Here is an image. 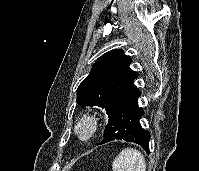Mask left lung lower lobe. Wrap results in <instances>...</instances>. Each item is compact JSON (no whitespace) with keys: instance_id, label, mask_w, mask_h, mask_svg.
<instances>
[{"instance_id":"obj_1","label":"left lung lower lobe","mask_w":199,"mask_h":171,"mask_svg":"<svg viewBox=\"0 0 199 171\" xmlns=\"http://www.w3.org/2000/svg\"><path fill=\"white\" fill-rule=\"evenodd\" d=\"M140 96L141 92L137 88L115 109L109 116L104 130V139L98 145L120 139L137 143L149 153L150 133L140 124V119L144 114L142 108L138 107L137 100Z\"/></svg>"}]
</instances>
